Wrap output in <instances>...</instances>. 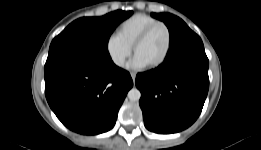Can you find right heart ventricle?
I'll return each instance as SVG.
<instances>
[{
  "label": "right heart ventricle",
  "instance_id": "e07e8e85",
  "mask_svg": "<svg viewBox=\"0 0 261 150\" xmlns=\"http://www.w3.org/2000/svg\"><path fill=\"white\" fill-rule=\"evenodd\" d=\"M158 20L144 13H136L123 20L116 29V35L132 48L137 37L151 24Z\"/></svg>",
  "mask_w": 261,
  "mask_h": 150
}]
</instances>
